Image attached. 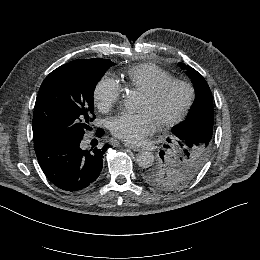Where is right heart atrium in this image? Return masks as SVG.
<instances>
[{"label":"right heart atrium","instance_id":"obj_1","mask_svg":"<svg viewBox=\"0 0 260 260\" xmlns=\"http://www.w3.org/2000/svg\"><path fill=\"white\" fill-rule=\"evenodd\" d=\"M122 97V88L113 77L104 75L96 83L93 98L101 111L108 112L119 104Z\"/></svg>","mask_w":260,"mask_h":260}]
</instances>
